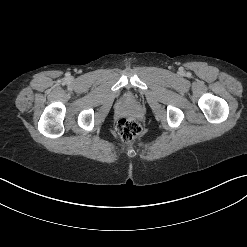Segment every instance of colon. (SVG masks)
<instances>
[{
  "label": "colon",
  "mask_w": 247,
  "mask_h": 247,
  "mask_svg": "<svg viewBox=\"0 0 247 247\" xmlns=\"http://www.w3.org/2000/svg\"><path fill=\"white\" fill-rule=\"evenodd\" d=\"M116 131L123 141L131 142L141 134L142 126L133 117H123L117 122Z\"/></svg>",
  "instance_id": "5ec220e1"
}]
</instances>
